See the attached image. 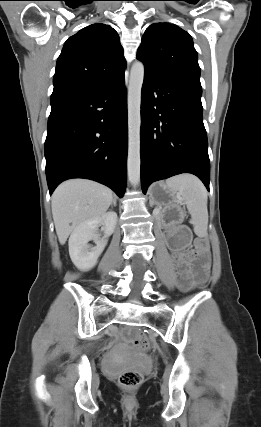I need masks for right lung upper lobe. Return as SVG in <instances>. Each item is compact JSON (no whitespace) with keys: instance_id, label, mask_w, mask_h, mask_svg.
Returning <instances> with one entry per match:
<instances>
[{"instance_id":"obj_1","label":"right lung upper lobe","mask_w":261,"mask_h":427,"mask_svg":"<svg viewBox=\"0 0 261 427\" xmlns=\"http://www.w3.org/2000/svg\"><path fill=\"white\" fill-rule=\"evenodd\" d=\"M117 32L92 24L67 39L57 60L51 105L102 88L124 76Z\"/></svg>"}]
</instances>
